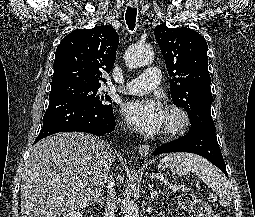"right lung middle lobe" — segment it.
Wrapping results in <instances>:
<instances>
[{
	"label": "right lung middle lobe",
	"instance_id": "dd1d6c3e",
	"mask_svg": "<svg viewBox=\"0 0 255 217\" xmlns=\"http://www.w3.org/2000/svg\"><path fill=\"white\" fill-rule=\"evenodd\" d=\"M100 87L85 86L80 84H63L51 87L49 99L54 98H68L79 101L83 104L95 107L97 109H112L109 96H98L97 90ZM111 102V101H110Z\"/></svg>",
	"mask_w": 255,
	"mask_h": 217
}]
</instances>
